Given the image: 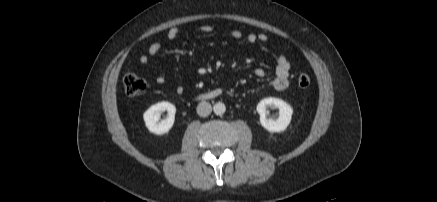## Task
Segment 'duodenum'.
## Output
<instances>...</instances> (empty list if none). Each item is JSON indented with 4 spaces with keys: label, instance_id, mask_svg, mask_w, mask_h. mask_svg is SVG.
I'll use <instances>...</instances> for the list:
<instances>
[{
    "label": "duodenum",
    "instance_id": "1",
    "mask_svg": "<svg viewBox=\"0 0 437 202\" xmlns=\"http://www.w3.org/2000/svg\"><path fill=\"white\" fill-rule=\"evenodd\" d=\"M220 94H221V90L215 89V90H212V91H209V92H205V93L199 95V98H201V99H210V98H214V97H216V96H218Z\"/></svg>",
    "mask_w": 437,
    "mask_h": 202
}]
</instances>
